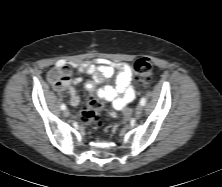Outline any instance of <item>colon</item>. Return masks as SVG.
Segmentation results:
<instances>
[{
    "instance_id": "obj_1",
    "label": "colon",
    "mask_w": 222,
    "mask_h": 187,
    "mask_svg": "<svg viewBox=\"0 0 222 187\" xmlns=\"http://www.w3.org/2000/svg\"><path fill=\"white\" fill-rule=\"evenodd\" d=\"M137 84L147 87L152 78L153 67L147 58L138 59L134 64ZM102 101L96 96L89 98L86 106L80 113V120L84 123L96 122L102 115Z\"/></svg>"
}]
</instances>
